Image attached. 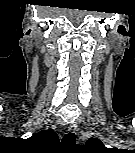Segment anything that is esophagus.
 I'll return each mask as SVG.
<instances>
[{"mask_svg":"<svg viewBox=\"0 0 135 153\" xmlns=\"http://www.w3.org/2000/svg\"><path fill=\"white\" fill-rule=\"evenodd\" d=\"M68 131L69 132H71V133H77V131H78V126H77V124H70L69 126H68Z\"/></svg>","mask_w":135,"mask_h":153,"instance_id":"esophagus-1","label":"esophagus"}]
</instances>
